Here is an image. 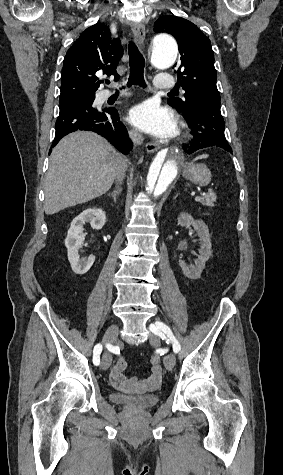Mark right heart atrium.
I'll return each instance as SVG.
<instances>
[{"label":"right heart atrium","instance_id":"right-heart-atrium-1","mask_svg":"<svg viewBox=\"0 0 283 475\" xmlns=\"http://www.w3.org/2000/svg\"><path fill=\"white\" fill-rule=\"evenodd\" d=\"M130 137H131V141L134 145L138 144V139L134 135L131 134Z\"/></svg>","mask_w":283,"mask_h":475}]
</instances>
